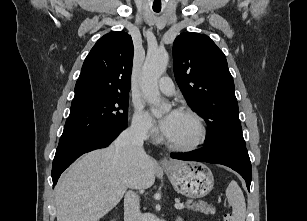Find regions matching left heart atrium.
Instances as JSON below:
<instances>
[{"instance_id":"39dd6f15","label":"left heart atrium","mask_w":307,"mask_h":221,"mask_svg":"<svg viewBox=\"0 0 307 221\" xmlns=\"http://www.w3.org/2000/svg\"><path fill=\"white\" fill-rule=\"evenodd\" d=\"M178 114H179L178 111L176 110L172 111L170 114H168L164 119L160 121L161 130L166 137L170 134Z\"/></svg>"}]
</instances>
